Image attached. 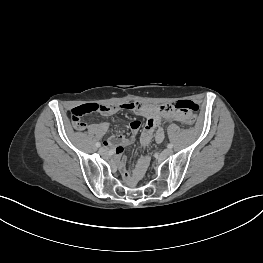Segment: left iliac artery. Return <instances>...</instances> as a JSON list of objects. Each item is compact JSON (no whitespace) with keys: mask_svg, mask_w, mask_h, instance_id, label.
I'll return each instance as SVG.
<instances>
[{"mask_svg":"<svg viewBox=\"0 0 263 263\" xmlns=\"http://www.w3.org/2000/svg\"><path fill=\"white\" fill-rule=\"evenodd\" d=\"M167 147L171 149L173 147V144H168Z\"/></svg>","mask_w":263,"mask_h":263,"instance_id":"obj_1","label":"left iliac artery"}]
</instances>
